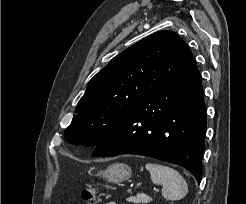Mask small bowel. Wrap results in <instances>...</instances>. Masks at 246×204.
Masks as SVG:
<instances>
[{
  "instance_id": "1",
  "label": "small bowel",
  "mask_w": 246,
  "mask_h": 204,
  "mask_svg": "<svg viewBox=\"0 0 246 204\" xmlns=\"http://www.w3.org/2000/svg\"><path fill=\"white\" fill-rule=\"evenodd\" d=\"M105 204H116L115 202H107Z\"/></svg>"
}]
</instances>
